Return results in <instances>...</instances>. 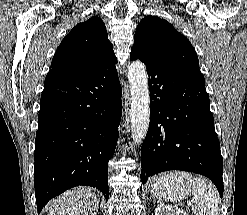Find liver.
<instances>
[{"label":"liver","instance_id":"1","mask_svg":"<svg viewBox=\"0 0 247 215\" xmlns=\"http://www.w3.org/2000/svg\"><path fill=\"white\" fill-rule=\"evenodd\" d=\"M97 196L87 187L68 190L49 207L48 215H96Z\"/></svg>","mask_w":247,"mask_h":215}]
</instances>
